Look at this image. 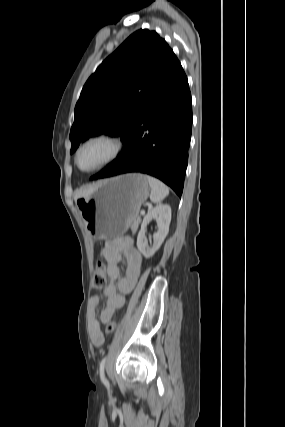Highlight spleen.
<instances>
[{
	"label": "spleen",
	"mask_w": 285,
	"mask_h": 427,
	"mask_svg": "<svg viewBox=\"0 0 285 427\" xmlns=\"http://www.w3.org/2000/svg\"><path fill=\"white\" fill-rule=\"evenodd\" d=\"M146 177L151 187L150 200L155 204L161 203L162 200L169 194L168 187L164 183H162L160 180L154 177H151V176H146Z\"/></svg>",
	"instance_id": "spleen-1"
}]
</instances>
